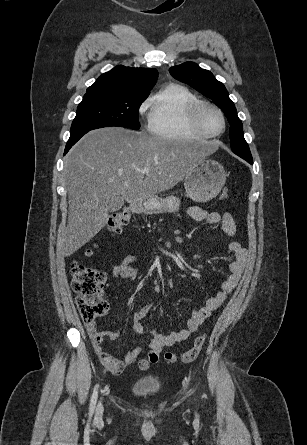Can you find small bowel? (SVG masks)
<instances>
[{
	"label": "small bowel",
	"mask_w": 307,
	"mask_h": 445,
	"mask_svg": "<svg viewBox=\"0 0 307 445\" xmlns=\"http://www.w3.org/2000/svg\"><path fill=\"white\" fill-rule=\"evenodd\" d=\"M187 212L196 221H205L210 225L221 224L223 232L230 238L236 234V223L229 212H208L198 206L189 207ZM225 249L234 255V259L228 264L229 274L222 282L220 290L192 312L184 329L168 334H161L155 329L149 331L152 335V340L148 346V354L139 359L138 365L141 370H146L150 364L158 362L160 352L164 348L183 342L195 333L201 324L223 305L226 298L238 285L244 271L247 250L240 242L235 240L226 243ZM137 263H139L138 256L128 255L112 268L111 276L124 280H135L137 278V270L132 266ZM151 308L152 303H146L135 311L132 316L133 328L139 335L147 333L142 325V320L147 316ZM86 329L101 363L114 374H121L126 366L134 363L139 358L142 352L141 348H134L127 352L122 360L116 359L105 351L102 343L105 336L110 339H117L119 333L100 331L97 329L95 322L88 323Z\"/></svg>",
	"instance_id": "c3829d8e"
}]
</instances>
